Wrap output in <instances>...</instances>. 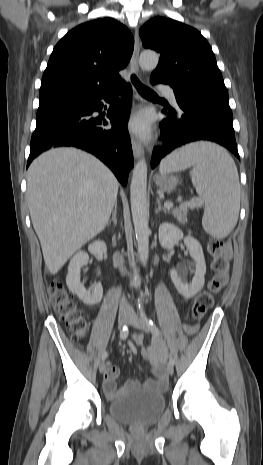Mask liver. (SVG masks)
<instances>
[{
    "instance_id": "liver-1",
    "label": "liver",
    "mask_w": 263,
    "mask_h": 465,
    "mask_svg": "<svg viewBox=\"0 0 263 465\" xmlns=\"http://www.w3.org/2000/svg\"><path fill=\"white\" fill-rule=\"evenodd\" d=\"M118 187L101 161L76 148L51 149L31 163L27 201L51 274L104 230Z\"/></svg>"
}]
</instances>
